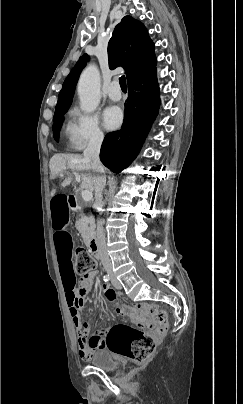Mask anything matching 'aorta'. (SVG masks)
I'll return each mask as SVG.
<instances>
[{
	"label": "aorta",
	"mask_w": 243,
	"mask_h": 404,
	"mask_svg": "<svg viewBox=\"0 0 243 404\" xmlns=\"http://www.w3.org/2000/svg\"><path fill=\"white\" fill-rule=\"evenodd\" d=\"M77 90L81 110H84V112H94V110H97L101 100L100 74L97 66L89 64L83 70Z\"/></svg>",
	"instance_id": "obj_1"
}]
</instances>
